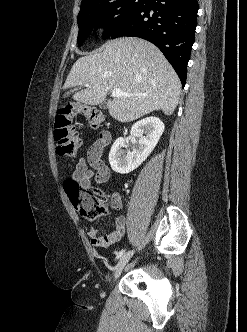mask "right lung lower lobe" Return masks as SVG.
Returning a JSON list of instances; mask_svg holds the SVG:
<instances>
[{"instance_id": "obj_1", "label": "right lung lower lobe", "mask_w": 247, "mask_h": 332, "mask_svg": "<svg viewBox=\"0 0 247 332\" xmlns=\"http://www.w3.org/2000/svg\"><path fill=\"white\" fill-rule=\"evenodd\" d=\"M198 9L197 0H146L139 10L120 22L110 36H136L155 44L184 87Z\"/></svg>"}]
</instances>
